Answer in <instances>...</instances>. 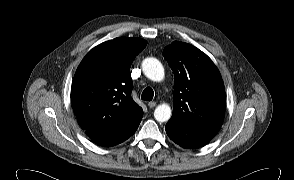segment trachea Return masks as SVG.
Segmentation results:
<instances>
[{"mask_svg": "<svg viewBox=\"0 0 294 180\" xmlns=\"http://www.w3.org/2000/svg\"><path fill=\"white\" fill-rule=\"evenodd\" d=\"M154 96V91L151 87H147L144 89L141 95V99L145 101H151Z\"/></svg>", "mask_w": 294, "mask_h": 180, "instance_id": "1", "label": "trachea"}]
</instances>
